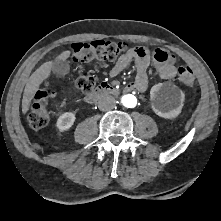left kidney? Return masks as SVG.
<instances>
[{
    "label": "left kidney",
    "instance_id": "left-kidney-1",
    "mask_svg": "<svg viewBox=\"0 0 221 221\" xmlns=\"http://www.w3.org/2000/svg\"><path fill=\"white\" fill-rule=\"evenodd\" d=\"M153 111L162 118H176L182 110L185 95L181 89L170 83L154 85L150 91Z\"/></svg>",
    "mask_w": 221,
    "mask_h": 221
}]
</instances>
